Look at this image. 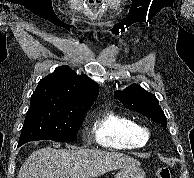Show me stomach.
Instances as JSON below:
<instances>
[{
    "mask_svg": "<svg viewBox=\"0 0 194 178\" xmlns=\"http://www.w3.org/2000/svg\"><path fill=\"white\" fill-rule=\"evenodd\" d=\"M115 178H145V172L140 166L128 167L121 169Z\"/></svg>",
    "mask_w": 194,
    "mask_h": 178,
    "instance_id": "stomach-1",
    "label": "stomach"
}]
</instances>
